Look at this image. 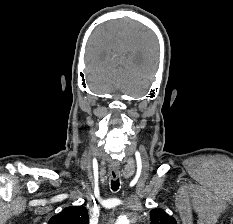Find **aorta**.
Wrapping results in <instances>:
<instances>
[{
	"mask_svg": "<svg viewBox=\"0 0 233 224\" xmlns=\"http://www.w3.org/2000/svg\"><path fill=\"white\" fill-rule=\"evenodd\" d=\"M115 224H128V220L126 218H119Z\"/></svg>",
	"mask_w": 233,
	"mask_h": 224,
	"instance_id": "1",
	"label": "aorta"
}]
</instances>
